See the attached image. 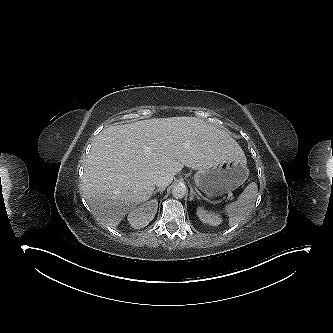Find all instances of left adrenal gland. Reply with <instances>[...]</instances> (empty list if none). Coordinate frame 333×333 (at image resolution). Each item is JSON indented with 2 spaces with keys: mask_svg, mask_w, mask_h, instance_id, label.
Instances as JSON below:
<instances>
[{
  "mask_svg": "<svg viewBox=\"0 0 333 333\" xmlns=\"http://www.w3.org/2000/svg\"><path fill=\"white\" fill-rule=\"evenodd\" d=\"M194 197H196L198 200L200 199V197L196 194V192L194 191V189L191 188V192H190L189 200H190V201L194 200Z\"/></svg>",
  "mask_w": 333,
  "mask_h": 333,
  "instance_id": "obj_1",
  "label": "left adrenal gland"
}]
</instances>
